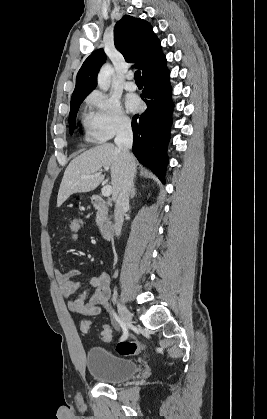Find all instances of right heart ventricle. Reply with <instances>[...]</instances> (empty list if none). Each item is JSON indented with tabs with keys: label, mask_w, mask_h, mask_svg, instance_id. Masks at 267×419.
Returning <instances> with one entry per match:
<instances>
[{
	"label": "right heart ventricle",
	"mask_w": 267,
	"mask_h": 419,
	"mask_svg": "<svg viewBox=\"0 0 267 419\" xmlns=\"http://www.w3.org/2000/svg\"><path fill=\"white\" fill-rule=\"evenodd\" d=\"M90 123H91V116L86 115L83 119V124L85 125L86 128L89 129Z\"/></svg>",
	"instance_id": "right-heart-ventricle-1"
}]
</instances>
